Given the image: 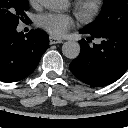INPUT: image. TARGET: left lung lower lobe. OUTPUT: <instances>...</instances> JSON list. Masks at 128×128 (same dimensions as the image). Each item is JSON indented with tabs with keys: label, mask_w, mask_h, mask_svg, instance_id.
Here are the masks:
<instances>
[{
	"label": "left lung lower lobe",
	"mask_w": 128,
	"mask_h": 128,
	"mask_svg": "<svg viewBox=\"0 0 128 128\" xmlns=\"http://www.w3.org/2000/svg\"><path fill=\"white\" fill-rule=\"evenodd\" d=\"M80 33L90 37L79 42L81 53L70 64L74 76L92 86H106L118 80L128 69V28L103 34L85 28ZM94 38L101 43L89 46Z\"/></svg>",
	"instance_id": "1"
}]
</instances>
